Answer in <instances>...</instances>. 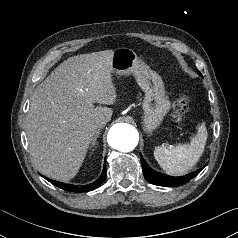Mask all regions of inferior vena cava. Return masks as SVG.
<instances>
[{
	"label": "inferior vena cava",
	"instance_id": "602c4592",
	"mask_svg": "<svg viewBox=\"0 0 238 238\" xmlns=\"http://www.w3.org/2000/svg\"><path fill=\"white\" fill-rule=\"evenodd\" d=\"M107 122H108L107 120L102 119V120H100V121L97 122V127H98V128H101V127H103Z\"/></svg>",
	"mask_w": 238,
	"mask_h": 238
}]
</instances>
